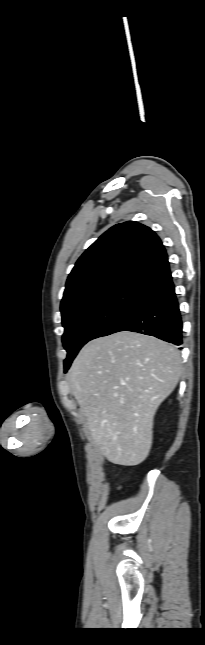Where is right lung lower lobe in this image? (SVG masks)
I'll use <instances>...</instances> for the list:
<instances>
[{"mask_svg":"<svg viewBox=\"0 0 205 645\" xmlns=\"http://www.w3.org/2000/svg\"><path fill=\"white\" fill-rule=\"evenodd\" d=\"M120 331L138 332L175 345L182 344V320L170 271L144 287L137 304L101 336Z\"/></svg>","mask_w":205,"mask_h":645,"instance_id":"right-lung-lower-lobe-1","label":"right lung lower lobe"}]
</instances>
